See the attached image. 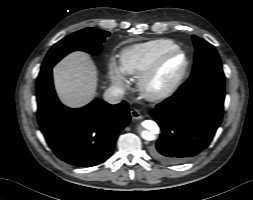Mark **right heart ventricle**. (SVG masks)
<instances>
[{"label": "right heart ventricle", "mask_w": 253, "mask_h": 200, "mask_svg": "<svg viewBox=\"0 0 253 200\" xmlns=\"http://www.w3.org/2000/svg\"><path fill=\"white\" fill-rule=\"evenodd\" d=\"M178 48L170 39H154L124 48L119 57L120 69L126 75H139L162 53Z\"/></svg>", "instance_id": "1"}]
</instances>
